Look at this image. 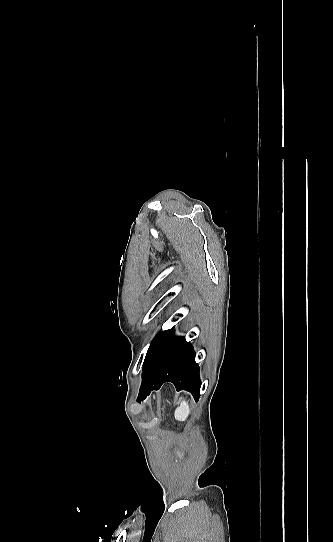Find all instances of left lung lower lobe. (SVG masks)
I'll use <instances>...</instances> for the list:
<instances>
[{
    "label": "left lung lower lobe",
    "mask_w": 333,
    "mask_h": 542,
    "mask_svg": "<svg viewBox=\"0 0 333 542\" xmlns=\"http://www.w3.org/2000/svg\"><path fill=\"white\" fill-rule=\"evenodd\" d=\"M143 366L138 400L144 399L152 390H158L167 381L172 382L177 391H189L196 400L199 399L201 382L195 351L184 337L174 335L173 328L156 335Z\"/></svg>",
    "instance_id": "1"
}]
</instances>
